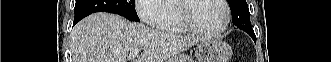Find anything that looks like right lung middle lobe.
I'll use <instances>...</instances> for the list:
<instances>
[{
	"mask_svg": "<svg viewBox=\"0 0 331 62\" xmlns=\"http://www.w3.org/2000/svg\"><path fill=\"white\" fill-rule=\"evenodd\" d=\"M100 11L119 14L130 21H140L135 10L134 0H76L74 20L80 21L84 17Z\"/></svg>",
	"mask_w": 331,
	"mask_h": 62,
	"instance_id": "obj_1",
	"label": "right lung middle lobe"
}]
</instances>
